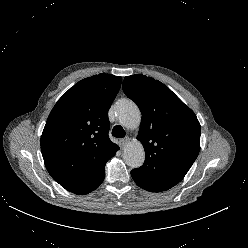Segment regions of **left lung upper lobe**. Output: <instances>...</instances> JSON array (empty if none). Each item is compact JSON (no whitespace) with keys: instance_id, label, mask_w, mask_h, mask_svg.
<instances>
[{"instance_id":"1","label":"left lung upper lobe","mask_w":248,"mask_h":248,"mask_svg":"<svg viewBox=\"0 0 248 248\" xmlns=\"http://www.w3.org/2000/svg\"><path fill=\"white\" fill-rule=\"evenodd\" d=\"M123 91L142 113L137 139L145 162L132 170L137 185L151 192L179 183L200 151L201 126L194 112L167 86L144 75L124 78Z\"/></svg>"}]
</instances>
